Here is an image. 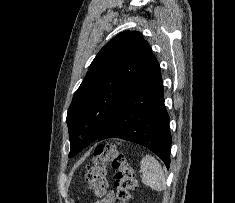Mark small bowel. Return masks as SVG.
I'll use <instances>...</instances> for the list:
<instances>
[{
  "label": "small bowel",
  "instance_id": "obj_1",
  "mask_svg": "<svg viewBox=\"0 0 235 203\" xmlns=\"http://www.w3.org/2000/svg\"><path fill=\"white\" fill-rule=\"evenodd\" d=\"M114 201V193L109 192L105 197L95 203H113Z\"/></svg>",
  "mask_w": 235,
  "mask_h": 203
}]
</instances>
